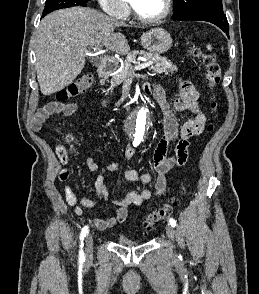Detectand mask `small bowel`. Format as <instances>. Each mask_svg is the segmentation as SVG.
<instances>
[{
  "label": "small bowel",
  "instance_id": "c3829d8e",
  "mask_svg": "<svg viewBox=\"0 0 259 294\" xmlns=\"http://www.w3.org/2000/svg\"><path fill=\"white\" fill-rule=\"evenodd\" d=\"M179 97L169 104L165 98V90L162 85L155 84L150 88L151 94L163 112L164 135L158 142L154 155V169L156 172L155 189L150 188L131 189L126 195L120 198H113L107 190V174L118 169L117 163H111L100 167L96 160L89 156L86 160L87 166L91 171L100 169V174L95 181V190L100 200H108L115 208V216L97 218L94 220L95 226L99 230L113 228L116 224L122 223L127 219L128 207L131 205L141 206L154 197L161 195L166 187L168 173L174 167L183 166L188 158L189 139L199 135L205 127L206 116L198 106V91L189 81H181L177 84ZM79 109L76 103H66L64 101H54L40 108L31 121L34 131H40L43 124L53 115L60 114L65 117L75 114ZM189 111L192 117L182 125H179L174 114L177 112ZM172 144L176 145L175 156L169 155V148ZM135 148L128 147L125 150L126 159H131L135 154ZM127 182H141L149 185L153 177L149 173L140 174L135 169H128L124 173ZM67 203L74 208L77 215H82L85 208H92L96 202L89 198L78 199L69 185L64 187Z\"/></svg>",
  "mask_w": 259,
  "mask_h": 294
}]
</instances>
